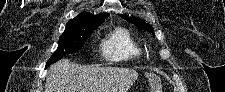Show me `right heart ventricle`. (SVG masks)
Returning a JSON list of instances; mask_svg holds the SVG:
<instances>
[{"instance_id": "e07e8e85", "label": "right heart ventricle", "mask_w": 225, "mask_h": 92, "mask_svg": "<svg viewBox=\"0 0 225 92\" xmlns=\"http://www.w3.org/2000/svg\"><path fill=\"white\" fill-rule=\"evenodd\" d=\"M102 55L110 62H126L139 60L143 51L132 34L118 28L111 32L101 43Z\"/></svg>"}]
</instances>
